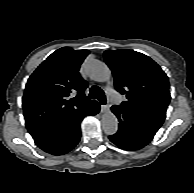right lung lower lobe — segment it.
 I'll return each mask as SVG.
<instances>
[{"mask_svg": "<svg viewBox=\"0 0 194 193\" xmlns=\"http://www.w3.org/2000/svg\"><path fill=\"white\" fill-rule=\"evenodd\" d=\"M97 101L60 121L28 130L36 145L47 153L62 155L72 150L80 140V122L85 116L99 112Z\"/></svg>", "mask_w": 194, "mask_h": 193, "instance_id": "1", "label": "right lung lower lobe"}]
</instances>
